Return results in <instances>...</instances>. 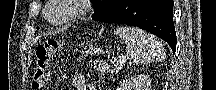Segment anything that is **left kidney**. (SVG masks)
Segmentation results:
<instances>
[{"instance_id":"left-kidney-1","label":"left kidney","mask_w":216,"mask_h":90,"mask_svg":"<svg viewBox=\"0 0 216 90\" xmlns=\"http://www.w3.org/2000/svg\"><path fill=\"white\" fill-rule=\"evenodd\" d=\"M120 90H151V80L146 74L133 76L121 84Z\"/></svg>"}]
</instances>
